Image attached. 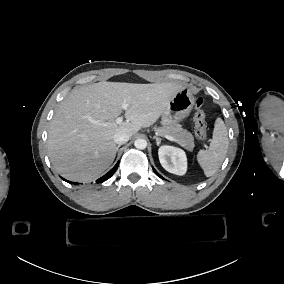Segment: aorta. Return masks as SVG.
Segmentation results:
<instances>
[{"label":"aorta","mask_w":284,"mask_h":284,"mask_svg":"<svg viewBox=\"0 0 284 284\" xmlns=\"http://www.w3.org/2000/svg\"><path fill=\"white\" fill-rule=\"evenodd\" d=\"M134 145L137 149H145L147 147V141L143 138H138L135 140Z\"/></svg>","instance_id":"aorta-1"}]
</instances>
